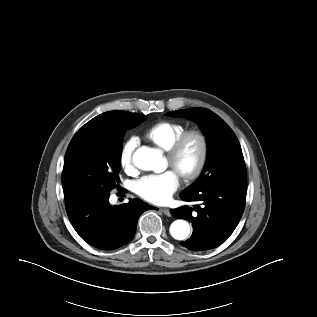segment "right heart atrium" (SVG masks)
Returning a JSON list of instances; mask_svg holds the SVG:
<instances>
[{
  "mask_svg": "<svg viewBox=\"0 0 317 317\" xmlns=\"http://www.w3.org/2000/svg\"><path fill=\"white\" fill-rule=\"evenodd\" d=\"M138 146V138L130 136L122 145L119 163L125 172L131 173L135 169L134 152Z\"/></svg>",
  "mask_w": 317,
  "mask_h": 317,
  "instance_id": "d8ad5b80",
  "label": "right heart atrium"
}]
</instances>
